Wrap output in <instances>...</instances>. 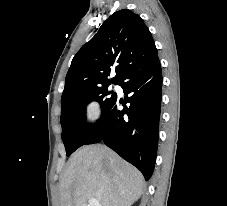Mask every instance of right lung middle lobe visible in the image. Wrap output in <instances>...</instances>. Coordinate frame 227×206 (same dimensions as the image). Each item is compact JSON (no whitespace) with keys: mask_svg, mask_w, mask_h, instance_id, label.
<instances>
[{"mask_svg":"<svg viewBox=\"0 0 227 206\" xmlns=\"http://www.w3.org/2000/svg\"><path fill=\"white\" fill-rule=\"evenodd\" d=\"M108 86L90 89L61 100L62 140L67 156L84 145L93 132L82 120V114L86 112L83 106L92 101H97L101 105L104 115L109 106L116 100V94L112 91L108 92ZM109 94H112V96L107 98L106 96Z\"/></svg>","mask_w":227,"mask_h":206,"instance_id":"1","label":"right lung middle lobe"}]
</instances>
